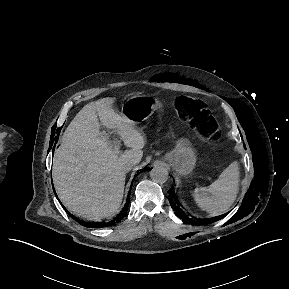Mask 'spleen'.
Returning a JSON list of instances; mask_svg holds the SVG:
<instances>
[{
    "label": "spleen",
    "mask_w": 289,
    "mask_h": 289,
    "mask_svg": "<svg viewBox=\"0 0 289 289\" xmlns=\"http://www.w3.org/2000/svg\"><path fill=\"white\" fill-rule=\"evenodd\" d=\"M239 182V163L234 161L221 172L211 185L196 188L194 199L197 205L209 214H222L234 203L239 191Z\"/></svg>",
    "instance_id": "3e777b00"
}]
</instances>
